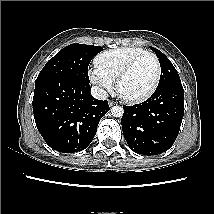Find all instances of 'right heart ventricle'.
I'll use <instances>...</instances> for the list:
<instances>
[{
	"mask_svg": "<svg viewBox=\"0 0 214 214\" xmlns=\"http://www.w3.org/2000/svg\"><path fill=\"white\" fill-rule=\"evenodd\" d=\"M144 52H146V50L140 47H122L107 50L96 56L94 60L95 67L115 82L126 64Z\"/></svg>",
	"mask_w": 214,
	"mask_h": 214,
	"instance_id": "obj_1",
	"label": "right heart ventricle"
}]
</instances>
